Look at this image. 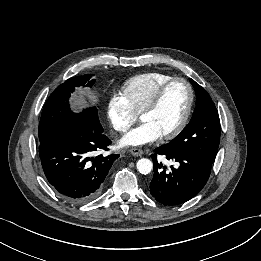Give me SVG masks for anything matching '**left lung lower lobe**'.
I'll list each match as a JSON object with an SVG mask.
<instances>
[{
    "mask_svg": "<svg viewBox=\"0 0 261 261\" xmlns=\"http://www.w3.org/2000/svg\"><path fill=\"white\" fill-rule=\"evenodd\" d=\"M177 162V166H166L157 161V155ZM154 176L150 182V193L158 202L166 206L181 205L196 196L205 186L210 176L212 162L180 147L163 145L152 154Z\"/></svg>",
    "mask_w": 261,
    "mask_h": 261,
    "instance_id": "1",
    "label": "left lung lower lobe"
}]
</instances>
